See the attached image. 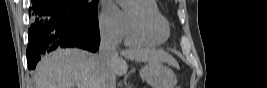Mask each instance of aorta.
Wrapping results in <instances>:
<instances>
[{
	"mask_svg": "<svg viewBox=\"0 0 267 88\" xmlns=\"http://www.w3.org/2000/svg\"><path fill=\"white\" fill-rule=\"evenodd\" d=\"M129 0H117L120 5H125Z\"/></svg>",
	"mask_w": 267,
	"mask_h": 88,
	"instance_id": "obj_1",
	"label": "aorta"
}]
</instances>
